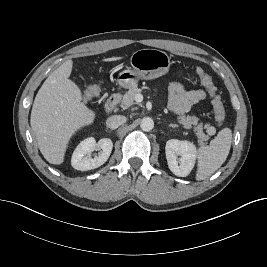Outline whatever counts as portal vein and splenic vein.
I'll return each instance as SVG.
<instances>
[{
	"instance_id": "portal-vein-and-splenic-vein-1",
	"label": "portal vein and splenic vein",
	"mask_w": 267,
	"mask_h": 267,
	"mask_svg": "<svg viewBox=\"0 0 267 267\" xmlns=\"http://www.w3.org/2000/svg\"><path fill=\"white\" fill-rule=\"evenodd\" d=\"M136 97L140 98V97H141V95H140V94H138Z\"/></svg>"
}]
</instances>
